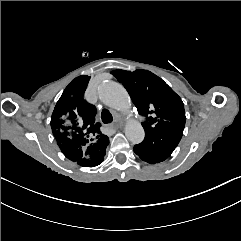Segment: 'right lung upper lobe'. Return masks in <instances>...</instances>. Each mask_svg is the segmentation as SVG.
<instances>
[{
  "mask_svg": "<svg viewBox=\"0 0 241 241\" xmlns=\"http://www.w3.org/2000/svg\"><path fill=\"white\" fill-rule=\"evenodd\" d=\"M89 76L75 78L63 91L51 117L52 133L62 153L83 167L95 166L109 138L95 121L96 108L84 99Z\"/></svg>",
  "mask_w": 241,
  "mask_h": 241,
  "instance_id": "cb5924a9",
  "label": "right lung upper lobe"
}]
</instances>
